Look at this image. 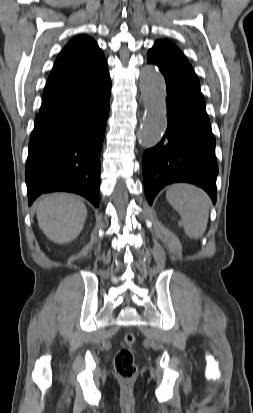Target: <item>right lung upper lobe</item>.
<instances>
[{
  "instance_id": "obj_1",
  "label": "right lung upper lobe",
  "mask_w": 253,
  "mask_h": 413,
  "mask_svg": "<svg viewBox=\"0 0 253 413\" xmlns=\"http://www.w3.org/2000/svg\"><path fill=\"white\" fill-rule=\"evenodd\" d=\"M108 75L104 54L96 41L86 35L73 38L55 61L36 117L95 93Z\"/></svg>"
}]
</instances>
